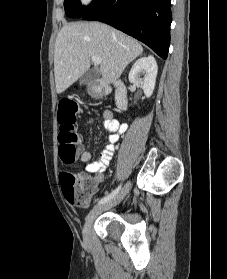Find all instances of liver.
<instances>
[{"label":"liver","mask_w":227,"mask_h":279,"mask_svg":"<svg viewBox=\"0 0 227 279\" xmlns=\"http://www.w3.org/2000/svg\"><path fill=\"white\" fill-rule=\"evenodd\" d=\"M142 52L138 41L103 23L64 25L57 35L54 50L56 91L63 93L88 71L92 56L101 59L102 79L114 83Z\"/></svg>","instance_id":"liver-1"}]
</instances>
